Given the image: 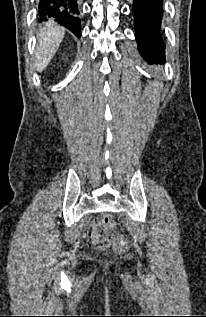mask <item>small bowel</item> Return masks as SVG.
<instances>
[{"label": "small bowel", "instance_id": "obj_1", "mask_svg": "<svg viewBox=\"0 0 206 317\" xmlns=\"http://www.w3.org/2000/svg\"><path fill=\"white\" fill-rule=\"evenodd\" d=\"M97 225V222H94L91 226V230Z\"/></svg>", "mask_w": 206, "mask_h": 317}]
</instances>
